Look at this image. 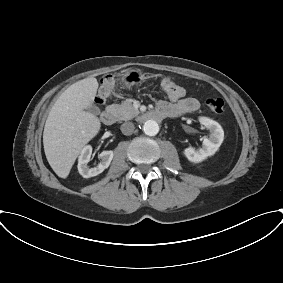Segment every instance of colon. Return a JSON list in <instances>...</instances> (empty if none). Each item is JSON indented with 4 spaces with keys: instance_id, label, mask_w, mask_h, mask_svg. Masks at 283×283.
<instances>
[{
    "instance_id": "obj_1",
    "label": "colon",
    "mask_w": 283,
    "mask_h": 283,
    "mask_svg": "<svg viewBox=\"0 0 283 283\" xmlns=\"http://www.w3.org/2000/svg\"><path fill=\"white\" fill-rule=\"evenodd\" d=\"M115 77V75H109L102 80L96 97L97 103L103 104L111 97ZM161 86L168 97L176 99L183 95L182 87L170 78H163L161 81ZM205 104L207 108L215 114H220L224 110V101L220 97H209L205 100Z\"/></svg>"
}]
</instances>
